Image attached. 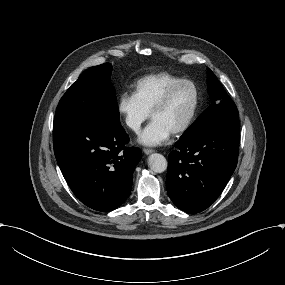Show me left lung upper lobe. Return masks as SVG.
Masks as SVG:
<instances>
[{"instance_id":"1","label":"left lung upper lobe","mask_w":285,"mask_h":285,"mask_svg":"<svg viewBox=\"0 0 285 285\" xmlns=\"http://www.w3.org/2000/svg\"><path fill=\"white\" fill-rule=\"evenodd\" d=\"M208 92L212 103L199 118L186 130L180 139H187L195 131L220 119L238 116V111L232 99L227 95L223 86L214 73L208 69Z\"/></svg>"}]
</instances>
